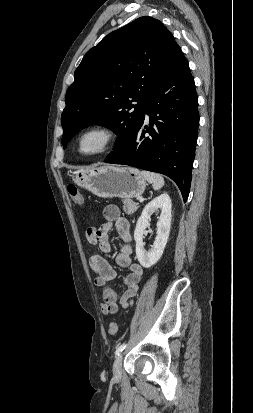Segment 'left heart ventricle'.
I'll list each match as a JSON object with an SVG mask.
<instances>
[{"label":"left heart ventricle","mask_w":253,"mask_h":413,"mask_svg":"<svg viewBox=\"0 0 253 413\" xmlns=\"http://www.w3.org/2000/svg\"><path fill=\"white\" fill-rule=\"evenodd\" d=\"M103 142V136L99 133H90L81 141V149L84 152H93L97 150Z\"/></svg>","instance_id":"left-heart-ventricle-1"}]
</instances>
